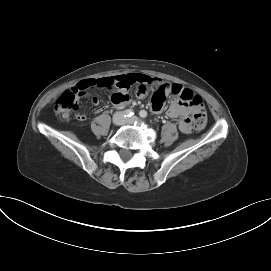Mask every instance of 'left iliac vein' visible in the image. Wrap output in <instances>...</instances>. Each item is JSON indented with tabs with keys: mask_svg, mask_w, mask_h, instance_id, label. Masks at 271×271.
I'll list each match as a JSON object with an SVG mask.
<instances>
[{
	"mask_svg": "<svg viewBox=\"0 0 271 271\" xmlns=\"http://www.w3.org/2000/svg\"><path fill=\"white\" fill-rule=\"evenodd\" d=\"M124 122L125 123H142V121L138 117H136V116H133L131 118H126L124 120Z\"/></svg>",
	"mask_w": 271,
	"mask_h": 271,
	"instance_id": "left-iliac-vein-1",
	"label": "left iliac vein"
}]
</instances>
